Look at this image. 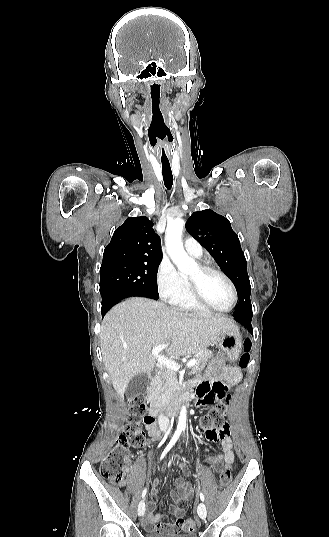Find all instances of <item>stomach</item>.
I'll list each match as a JSON object with an SVG mask.
<instances>
[{"instance_id": "obj_1", "label": "stomach", "mask_w": 329, "mask_h": 537, "mask_svg": "<svg viewBox=\"0 0 329 537\" xmlns=\"http://www.w3.org/2000/svg\"><path fill=\"white\" fill-rule=\"evenodd\" d=\"M217 343L220 349L227 354L230 361L237 360L242 348V339L238 327L223 332L219 336Z\"/></svg>"}]
</instances>
